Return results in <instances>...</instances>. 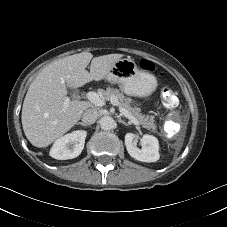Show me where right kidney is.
Returning <instances> with one entry per match:
<instances>
[{
  "label": "right kidney",
  "mask_w": 227,
  "mask_h": 227,
  "mask_svg": "<svg viewBox=\"0 0 227 227\" xmlns=\"http://www.w3.org/2000/svg\"><path fill=\"white\" fill-rule=\"evenodd\" d=\"M86 136V131L76 130L59 137L50 150V156L58 160L76 158L84 148Z\"/></svg>",
  "instance_id": "ca27d5eb"
}]
</instances>
